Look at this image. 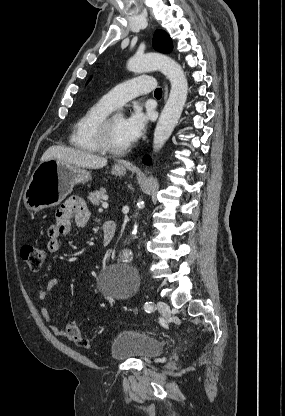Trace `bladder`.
I'll list each match as a JSON object with an SVG mask.
<instances>
[{
  "mask_svg": "<svg viewBox=\"0 0 285 416\" xmlns=\"http://www.w3.org/2000/svg\"><path fill=\"white\" fill-rule=\"evenodd\" d=\"M165 347L164 342L137 331L128 330L117 334L110 348V355L115 360H147L159 357Z\"/></svg>",
  "mask_w": 285,
  "mask_h": 416,
  "instance_id": "bladder-1",
  "label": "bladder"
}]
</instances>
